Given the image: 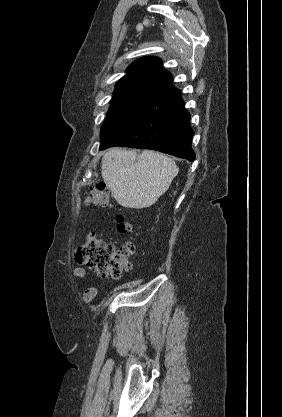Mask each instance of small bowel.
I'll use <instances>...</instances> for the list:
<instances>
[{
    "instance_id": "c3829d8e",
    "label": "small bowel",
    "mask_w": 282,
    "mask_h": 417,
    "mask_svg": "<svg viewBox=\"0 0 282 417\" xmlns=\"http://www.w3.org/2000/svg\"><path fill=\"white\" fill-rule=\"evenodd\" d=\"M72 275L78 279H85L88 276L86 270L81 267H75L72 270ZM97 293H98L97 286H90L86 288L83 292V301L85 303H91L97 296Z\"/></svg>"
}]
</instances>
